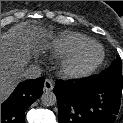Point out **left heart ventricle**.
Masks as SVG:
<instances>
[{
    "label": "left heart ventricle",
    "instance_id": "b2bd125f",
    "mask_svg": "<svg viewBox=\"0 0 123 123\" xmlns=\"http://www.w3.org/2000/svg\"><path fill=\"white\" fill-rule=\"evenodd\" d=\"M98 54H99V49L97 47L93 46L87 51V53L84 57V61L85 62L90 61V60L94 59L95 57H97Z\"/></svg>",
    "mask_w": 123,
    "mask_h": 123
}]
</instances>
